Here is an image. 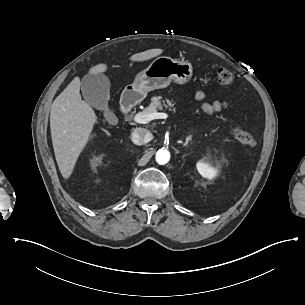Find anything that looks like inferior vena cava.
I'll return each mask as SVG.
<instances>
[{
	"instance_id": "602c4592",
	"label": "inferior vena cava",
	"mask_w": 305,
	"mask_h": 305,
	"mask_svg": "<svg viewBox=\"0 0 305 305\" xmlns=\"http://www.w3.org/2000/svg\"><path fill=\"white\" fill-rule=\"evenodd\" d=\"M152 139V134L145 128H136L131 134V140L136 145H143Z\"/></svg>"
}]
</instances>
